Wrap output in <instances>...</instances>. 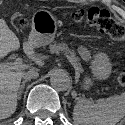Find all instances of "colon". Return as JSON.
Here are the masks:
<instances>
[{"mask_svg": "<svg viewBox=\"0 0 125 125\" xmlns=\"http://www.w3.org/2000/svg\"><path fill=\"white\" fill-rule=\"evenodd\" d=\"M70 18L77 23H85L97 27L115 41L125 42V26L111 17L106 10L100 8L75 10L70 14ZM16 26L23 29L28 26V22L20 18L16 21ZM118 82L121 86H125V69L119 74Z\"/></svg>", "mask_w": 125, "mask_h": 125, "instance_id": "1", "label": "colon"}]
</instances>
